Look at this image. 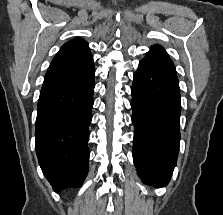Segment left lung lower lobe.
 <instances>
[{
    "mask_svg": "<svg viewBox=\"0 0 223 215\" xmlns=\"http://www.w3.org/2000/svg\"><path fill=\"white\" fill-rule=\"evenodd\" d=\"M131 91L135 167L143 183L165 187L180 143V89L175 67L141 60Z\"/></svg>",
    "mask_w": 223,
    "mask_h": 215,
    "instance_id": "obj_1",
    "label": "left lung lower lobe"
}]
</instances>
